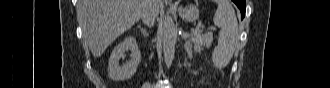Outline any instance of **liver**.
Wrapping results in <instances>:
<instances>
[{
    "instance_id": "1",
    "label": "liver",
    "mask_w": 330,
    "mask_h": 88,
    "mask_svg": "<svg viewBox=\"0 0 330 88\" xmlns=\"http://www.w3.org/2000/svg\"><path fill=\"white\" fill-rule=\"evenodd\" d=\"M148 0H79L77 13L83 38L94 57H99L122 33L142 17ZM159 13L161 0H156Z\"/></svg>"
}]
</instances>
